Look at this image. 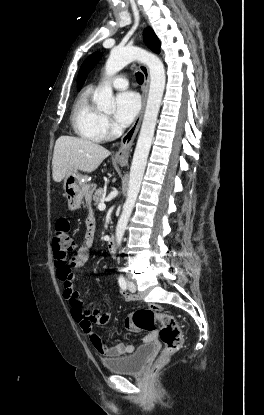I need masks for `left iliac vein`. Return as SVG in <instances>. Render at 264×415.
<instances>
[{
	"label": "left iliac vein",
	"mask_w": 264,
	"mask_h": 415,
	"mask_svg": "<svg viewBox=\"0 0 264 415\" xmlns=\"http://www.w3.org/2000/svg\"><path fill=\"white\" fill-rule=\"evenodd\" d=\"M128 289L130 292L134 293L136 291V285L133 282H129Z\"/></svg>",
	"instance_id": "1"
}]
</instances>
